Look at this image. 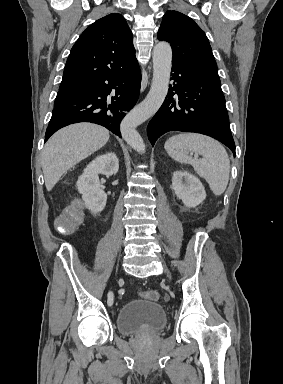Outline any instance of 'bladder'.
Segmentation results:
<instances>
[{
    "mask_svg": "<svg viewBox=\"0 0 283 384\" xmlns=\"http://www.w3.org/2000/svg\"><path fill=\"white\" fill-rule=\"evenodd\" d=\"M167 314L161 303L134 299L117 311L116 328L121 334H155L166 326Z\"/></svg>",
    "mask_w": 283,
    "mask_h": 384,
    "instance_id": "31cf9c89",
    "label": "bladder"
}]
</instances>
